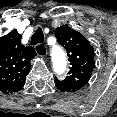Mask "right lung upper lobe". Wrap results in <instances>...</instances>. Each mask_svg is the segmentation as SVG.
Instances as JSON below:
<instances>
[{"instance_id": "obj_1", "label": "right lung upper lobe", "mask_w": 117, "mask_h": 117, "mask_svg": "<svg viewBox=\"0 0 117 117\" xmlns=\"http://www.w3.org/2000/svg\"><path fill=\"white\" fill-rule=\"evenodd\" d=\"M21 38L17 30L0 37V91L6 94L23 88L30 61L36 56L33 47L21 44Z\"/></svg>"}]
</instances>
